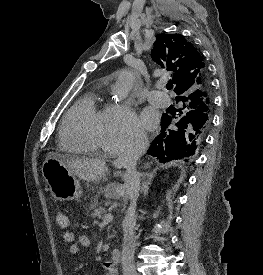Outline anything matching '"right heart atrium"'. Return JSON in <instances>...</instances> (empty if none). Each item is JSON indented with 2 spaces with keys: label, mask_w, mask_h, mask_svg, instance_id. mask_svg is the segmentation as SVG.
<instances>
[{
  "label": "right heart atrium",
  "mask_w": 263,
  "mask_h": 275,
  "mask_svg": "<svg viewBox=\"0 0 263 275\" xmlns=\"http://www.w3.org/2000/svg\"><path fill=\"white\" fill-rule=\"evenodd\" d=\"M146 134L133 110L122 104H111L107 109L103 146L105 151L117 154L142 145Z\"/></svg>",
  "instance_id": "right-heart-atrium-1"
}]
</instances>
